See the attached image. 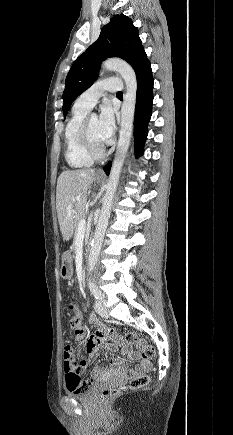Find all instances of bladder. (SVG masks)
Listing matches in <instances>:
<instances>
[{
    "label": "bladder",
    "mask_w": 233,
    "mask_h": 435,
    "mask_svg": "<svg viewBox=\"0 0 233 435\" xmlns=\"http://www.w3.org/2000/svg\"><path fill=\"white\" fill-rule=\"evenodd\" d=\"M99 384H100L99 382L90 383L89 388L83 392L72 393L70 391H66V394L75 400L87 401V400L92 399L95 396L96 389L98 388Z\"/></svg>",
    "instance_id": "obj_1"
}]
</instances>
